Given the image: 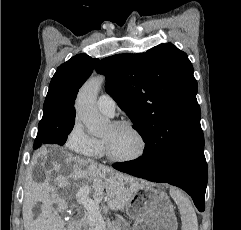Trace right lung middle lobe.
<instances>
[{"mask_svg":"<svg viewBox=\"0 0 241 230\" xmlns=\"http://www.w3.org/2000/svg\"><path fill=\"white\" fill-rule=\"evenodd\" d=\"M75 119L58 121L50 117H42L38 134L34 141L33 148L37 149L41 144H58L63 145L67 136L74 127Z\"/></svg>","mask_w":241,"mask_h":230,"instance_id":"obj_1","label":"right lung middle lobe"}]
</instances>
